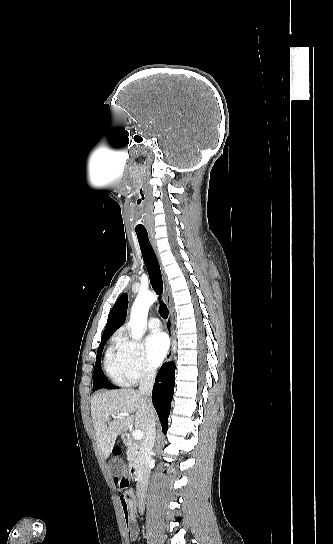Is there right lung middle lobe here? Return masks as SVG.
I'll list each match as a JSON object with an SVG mask.
<instances>
[{
    "label": "right lung middle lobe",
    "instance_id": "right-lung-middle-lobe-1",
    "mask_svg": "<svg viewBox=\"0 0 333 544\" xmlns=\"http://www.w3.org/2000/svg\"><path fill=\"white\" fill-rule=\"evenodd\" d=\"M107 339L108 338L101 339V343H100V345L98 347L97 356H96V363H95V368H94L93 391H96V390L101 389V388H107V389L118 388V387L112 385L107 380V378L104 376L103 371L101 370V364H100L101 355H102V351H103V348H104V345H105Z\"/></svg>",
    "mask_w": 333,
    "mask_h": 544
}]
</instances>
